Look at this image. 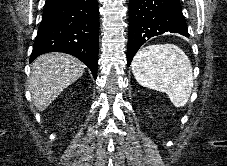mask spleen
I'll list each match as a JSON object with an SVG mask.
<instances>
[{
	"instance_id": "spleen-1",
	"label": "spleen",
	"mask_w": 227,
	"mask_h": 166,
	"mask_svg": "<svg viewBox=\"0 0 227 166\" xmlns=\"http://www.w3.org/2000/svg\"><path fill=\"white\" fill-rule=\"evenodd\" d=\"M136 81L164 92L175 107H183L193 87V70L187 55L176 45H149L140 49L132 61Z\"/></svg>"
}]
</instances>
